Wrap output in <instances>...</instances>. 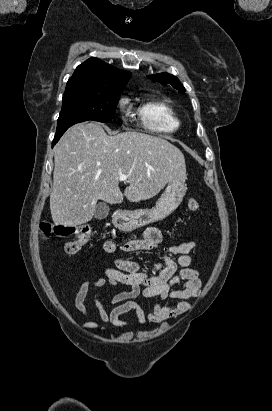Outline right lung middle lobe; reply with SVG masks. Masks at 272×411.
I'll return each mask as SVG.
<instances>
[{
	"mask_svg": "<svg viewBox=\"0 0 272 411\" xmlns=\"http://www.w3.org/2000/svg\"><path fill=\"white\" fill-rule=\"evenodd\" d=\"M124 86L101 87L91 91L64 93L55 137L83 121H112L117 101Z\"/></svg>",
	"mask_w": 272,
	"mask_h": 411,
	"instance_id": "1",
	"label": "right lung middle lobe"
}]
</instances>
